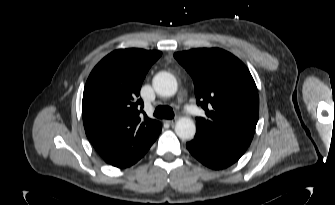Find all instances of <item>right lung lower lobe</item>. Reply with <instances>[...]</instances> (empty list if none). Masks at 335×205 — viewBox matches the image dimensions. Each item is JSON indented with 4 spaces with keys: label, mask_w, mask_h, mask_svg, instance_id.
<instances>
[{
    "label": "right lung lower lobe",
    "mask_w": 335,
    "mask_h": 205,
    "mask_svg": "<svg viewBox=\"0 0 335 205\" xmlns=\"http://www.w3.org/2000/svg\"><path fill=\"white\" fill-rule=\"evenodd\" d=\"M141 157H139L138 159L133 160L131 162H128V163H123V164H118V165H113V166H116V167H119V168L129 167V166L133 165L134 163H136Z\"/></svg>",
    "instance_id": "obj_1"
}]
</instances>
